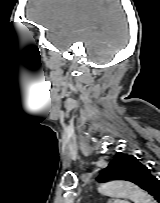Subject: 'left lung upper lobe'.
<instances>
[{
    "mask_svg": "<svg viewBox=\"0 0 160 203\" xmlns=\"http://www.w3.org/2000/svg\"><path fill=\"white\" fill-rule=\"evenodd\" d=\"M113 179L130 181L149 192L156 176L135 156L118 152L98 178L101 181Z\"/></svg>",
    "mask_w": 160,
    "mask_h": 203,
    "instance_id": "1",
    "label": "left lung upper lobe"
}]
</instances>
